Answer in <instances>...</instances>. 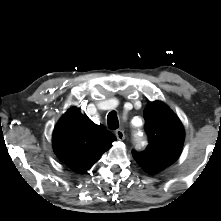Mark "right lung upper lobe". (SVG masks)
Wrapping results in <instances>:
<instances>
[{"instance_id": "cb5924a9", "label": "right lung upper lobe", "mask_w": 221, "mask_h": 221, "mask_svg": "<svg viewBox=\"0 0 221 221\" xmlns=\"http://www.w3.org/2000/svg\"><path fill=\"white\" fill-rule=\"evenodd\" d=\"M115 140L111 132L84 117L76 107L62 116L53 133L56 155L77 172L88 170Z\"/></svg>"}]
</instances>
